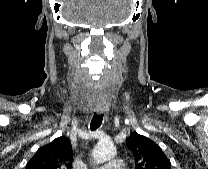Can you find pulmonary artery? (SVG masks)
<instances>
[{
    "label": "pulmonary artery",
    "instance_id": "obj_1",
    "mask_svg": "<svg viewBox=\"0 0 208 169\" xmlns=\"http://www.w3.org/2000/svg\"><path fill=\"white\" fill-rule=\"evenodd\" d=\"M93 169H126L124 161L120 158H113L106 164L93 167Z\"/></svg>",
    "mask_w": 208,
    "mask_h": 169
}]
</instances>
